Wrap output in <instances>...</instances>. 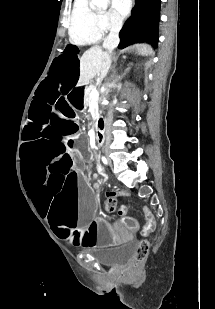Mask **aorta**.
Wrapping results in <instances>:
<instances>
[{"mask_svg": "<svg viewBox=\"0 0 215 309\" xmlns=\"http://www.w3.org/2000/svg\"><path fill=\"white\" fill-rule=\"evenodd\" d=\"M108 2L109 0H91V4H95L97 8H102V10H105V8H107ZM102 104H107L106 98L102 100Z\"/></svg>", "mask_w": 215, "mask_h": 309, "instance_id": "1", "label": "aorta"}]
</instances>
